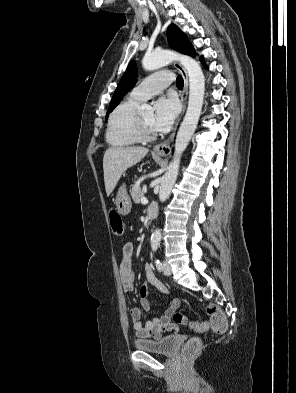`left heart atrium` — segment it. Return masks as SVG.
I'll use <instances>...</instances> for the list:
<instances>
[{"label":"left heart atrium","instance_id":"1","mask_svg":"<svg viewBox=\"0 0 296 393\" xmlns=\"http://www.w3.org/2000/svg\"><path fill=\"white\" fill-rule=\"evenodd\" d=\"M179 112V104L173 95L160 97L155 103L152 119V129L165 131L170 128Z\"/></svg>","mask_w":296,"mask_h":393}]
</instances>
